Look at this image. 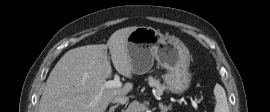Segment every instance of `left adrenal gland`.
Returning <instances> with one entry per match:
<instances>
[{"mask_svg": "<svg viewBox=\"0 0 270 112\" xmlns=\"http://www.w3.org/2000/svg\"><path fill=\"white\" fill-rule=\"evenodd\" d=\"M159 107L161 109V112H167L168 110H170V107H167L165 105H163L162 103H159Z\"/></svg>", "mask_w": 270, "mask_h": 112, "instance_id": "1", "label": "left adrenal gland"}]
</instances>
